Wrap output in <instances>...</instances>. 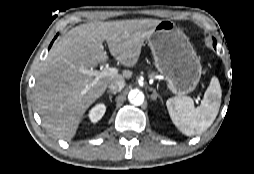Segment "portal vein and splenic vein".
I'll list each match as a JSON object with an SVG mask.
<instances>
[{"label":"portal vein and splenic vein","instance_id":"portal-vein-and-splenic-vein-1","mask_svg":"<svg viewBox=\"0 0 254 174\" xmlns=\"http://www.w3.org/2000/svg\"><path fill=\"white\" fill-rule=\"evenodd\" d=\"M84 73L90 76H95L94 82H97L103 77H111L118 75V69L106 66L101 71L90 69L85 70Z\"/></svg>","mask_w":254,"mask_h":174}]
</instances>
